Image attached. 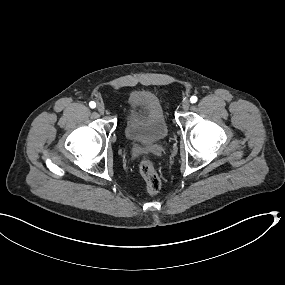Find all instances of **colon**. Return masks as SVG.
<instances>
[{"mask_svg":"<svg viewBox=\"0 0 285 285\" xmlns=\"http://www.w3.org/2000/svg\"><path fill=\"white\" fill-rule=\"evenodd\" d=\"M140 173L144 178L146 191L151 195L158 193L161 181L150 159H144L140 163Z\"/></svg>","mask_w":285,"mask_h":285,"instance_id":"obj_1","label":"colon"}]
</instances>
